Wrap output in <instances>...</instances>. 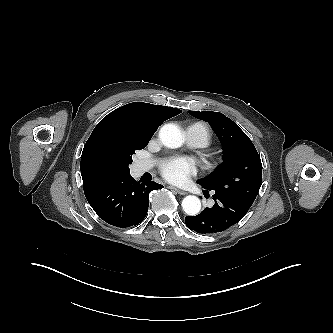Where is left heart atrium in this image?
I'll return each instance as SVG.
<instances>
[{
  "label": "left heart atrium",
  "instance_id": "left-heart-atrium-1",
  "mask_svg": "<svg viewBox=\"0 0 333 333\" xmlns=\"http://www.w3.org/2000/svg\"><path fill=\"white\" fill-rule=\"evenodd\" d=\"M163 177L171 183L184 184L195 173L194 163L187 158H175L162 165Z\"/></svg>",
  "mask_w": 333,
  "mask_h": 333
}]
</instances>
